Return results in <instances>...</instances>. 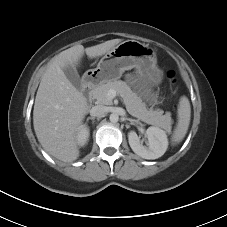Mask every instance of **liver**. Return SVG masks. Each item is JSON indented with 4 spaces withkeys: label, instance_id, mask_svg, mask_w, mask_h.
Listing matches in <instances>:
<instances>
[{
    "label": "liver",
    "instance_id": "1",
    "mask_svg": "<svg viewBox=\"0 0 227 227\" xmlns=\"http://www.w3.org/2000/svg\"><path fill=\"white\" fill-rule=\"evenodd\" d=\"M120 42L113 39L86 49L73 46L55 56L43 74L35 98L33 125L39 143L51 156L63 162L78 159L77 132L87 113L86 98L68 80L63 68L78 65L84 52L90 59L96 58Z\"/></svg>",
    "mask_w": 227,
    "mask_h": 227
}]
</instances>
